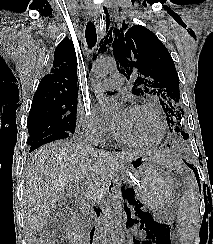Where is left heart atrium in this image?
<instances>
[{"label": "left heart atrium", "mask_w": 213, "mask_h": 244, "mask_svg": "<svg viewBox=\"0 0 213 244\" xmlns=\"http://www.w3.org/2000/svg\"><path fill=\"white\" fill-rule=\"evenodd\" d=\"M125 112H126V110H122L119 118L114 121L113 125H114L115 129L120 124V122L122 121V118H123Z\"/></svg>", "instance_id": "1"}]
</instances>
